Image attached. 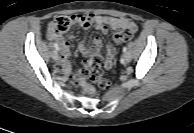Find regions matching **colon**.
<instances>
[{
	"label": "colon",
	"mask_w": 194,
	"mask_h": 133,
	"mask_svg": "<svg viewBox=\"0 0 194 133\" xmlns=\"http://www.w3.org/2000/svg\"><path fill=\"white\" fill-rule=\"evenodd\" d=\"M71 23L72 21L70 17L60 16L50 23L49 29L54 35L59 36L69 29ZM133 35V32L125 29L115 34L114 41L115 43L120 44L131 40ZM103 64V57L96 53L86 61L83 68L76 73V78L81 82L86 94H91L94 91L93 86L87 83V79L97 84L101 89H108L110 87V82L103 75Z\"/></svg>",
	"instance_id": "colon-1"
}]
</instances>
